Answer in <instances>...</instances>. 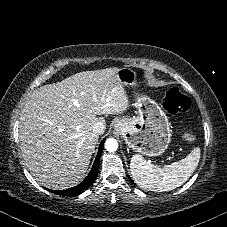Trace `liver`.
I'll return each instance as SVG.
<instances>
[{"label":"liver","instance_id":"liver-1","mask_svg":"<svg viewBox=\"0 0 227 227\" xmlns=\"http://www.w3.org/2000/svg\"><path fill=\"white\" fill-rule=\"evenodd\" d=\"M118 71L80 72L39 87L28 98L19 139L26 166L42 186L64 190L84 178L99 138L93 125L104 122L97 116L121 114L129 106Z\"/></svg>","mask_w":227,"mask_h":227}]
</instances>
